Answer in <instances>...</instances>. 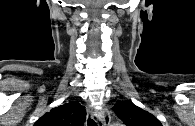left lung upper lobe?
<instances>
[{"mask_svg": "<svg viewBox=\"0 0 195 126\" xmlns=\"http://www.w3.org/2000/svg\"><path fill=\"white\" fill-rule=\"evenodd\" d=\"M113 110L127 126H162L152 114L130 101H118Z\"/></svg>", "mask_w": 195, "mask_h": 126, "instance_id": "left-lung-upper-lobe-1", "label": "left lung upper lobe"}]
</instances>
